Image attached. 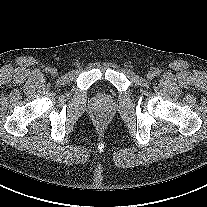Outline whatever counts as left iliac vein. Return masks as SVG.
<instances>
[{"mask_svg":"<svg viewBox=\"0 0 207 207\" xmlns=\"http://www.w3.org/2000/svg\"><path fill=\"white\" fill-rule=\"evenodd\" d=\"M155 76V73L153 71H149L147 74V79L152 80Z\"/></svg>","mask_w":207,"mask_h":207,"instance_id":"left-iliac-vein-1","label":"left iliac vein"}]
</instances>
